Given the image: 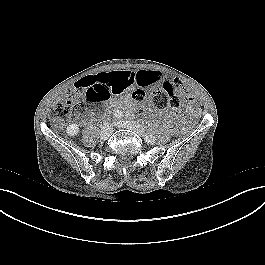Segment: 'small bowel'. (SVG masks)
<instances>
[{"mask_svg": "<svg viewBox=\"0 0 265 265\" xmlns=\"http://www.w3.org/2000/svg\"><path fill=\"white\" fill-rule=\"evenodd\" d=\"M95 76L110 77L109 85L112 94H120L128 89H131L133 86H138L146 90L155 89L162 86L168 77L172 78V76L164 75L157 70L112 71L99 73Z\"/></svg>", "mask_w": 265, "mask_h": 265, "instance_id": "small-bowel-1", "label": "small bowel"}]
</instances>
